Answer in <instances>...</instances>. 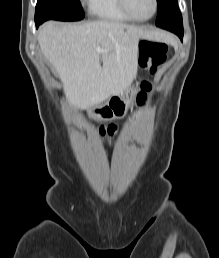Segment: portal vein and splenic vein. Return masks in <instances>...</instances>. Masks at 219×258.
Masks as SVG:
<instances>
[{"instance_id": "1", "label": "portal vein and splenic vein", "mask_w": 219, "mask_h": 258, "mask_svg": "<svg viewBox=\"0 0 219 258\" xmlns=\"http://www.w3.org/2000/svg\"><path fill=\"white\" fill-rule=\"evenodd\" d=\"M96 50H97L98 53H101L103 51L99 46L97 47Z\"/></svg>"}]
</instances>
